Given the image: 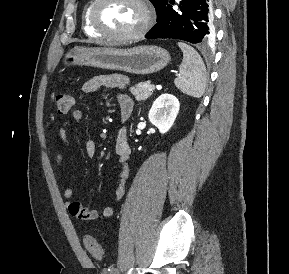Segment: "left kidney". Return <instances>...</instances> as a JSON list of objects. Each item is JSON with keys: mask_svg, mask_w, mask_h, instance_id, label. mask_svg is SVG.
Returning <instances> with one entry per match:
<instances>
[{"mask_svg": "<svg viewBox=\"0 0 289 274\" xmlns=\"http://www.w3.org/2000/svg\"><path fill=\"white\" fill-rule=\"evenodd\" d=\"M179 108L180 103L174 95L162 94L154 101L148 114L149 120L164 134L174 124Z\"/></svg>", "mask_w": 289, "mask_h": 274, "instance_id": "5707ae66", "label": "left kidney"}]
</instances>
